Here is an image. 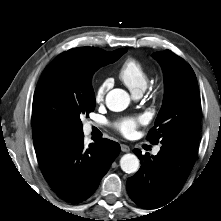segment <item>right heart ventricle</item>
<instances>
[{
  "label": "right heart ventricle",
  "instance_id": "e07e8e85",
  "mask_svg": "<svg viewBox=\"0 0 221 221\" xmlns=\"http://www.w3.org/2000/svg\"><path fill=\"white\" fill-rule=\"evenodd\" d=\"M118 75L133 94L143 92L150 81L148 70L135 58L126 59L121 65Z\"/></svg>",
  "mask_w": 221,
  "mask_h": 221
}]
</instances>
